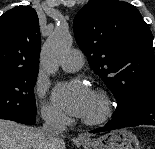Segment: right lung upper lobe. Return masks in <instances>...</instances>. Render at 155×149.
Returning <instances> with one entry per match:
<instances>
[{"mask_svg":"<svg viewBox=\"0 0 155 149\" xmlns=\"http://www.w3.org/2000/svg\"><path fill=\"white\" fill-rule=\"evenodd\" d=\"M40 29L36 11L16 6L0 17V71H38Z\"/></svg>","mask_w":155,"mask_h":149,"instance_id":"1","label":"right lung upper lobe"}]
</instances>
